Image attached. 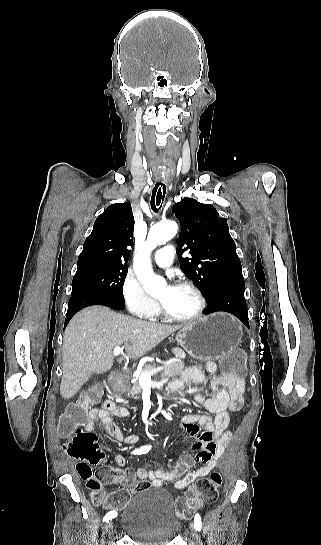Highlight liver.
I'll return each instance as SVG.
<instances>
[{
  "label": "liver",
  "mask_w": 321,
  "mask_h": 545,
  "mask_svg": "<svg viewBox=\"0 0 321 545\" xmlns=\"http://www.w3.org/2000/svg\"><path fill=\"white\" fill-rule=\"evenodd\" d=\"M182 327L133 319L99 305L83 309L71 319L64 333L62 397L71 399L93 373L109 371L115 347H125L123 359H139Z\"/></svg>",
  "instance_id": "obj_1"
}]
</instances>
